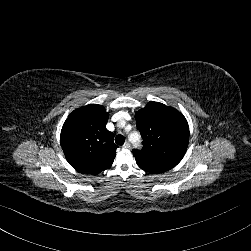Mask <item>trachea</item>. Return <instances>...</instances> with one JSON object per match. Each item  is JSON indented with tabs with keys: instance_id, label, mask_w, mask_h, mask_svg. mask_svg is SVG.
Segmentation results:
<instances>
[{
	"instance_id": "obj_1",
	"label": "trachea",
	"mask_w": 251,
	"mask_h": 251,
	"mask_svg": "<svg viewBox=\"0 0 251 251\" xmlns=\"http://www.w3.org/2000/svg\"><path fill=\"white\" fill-rule=\"evenodd\" d=\"M115 142L119 146H122L124 144V142H125V137L123 135H117L116 138H115Z\"/></svg>"
}]
</instances>
